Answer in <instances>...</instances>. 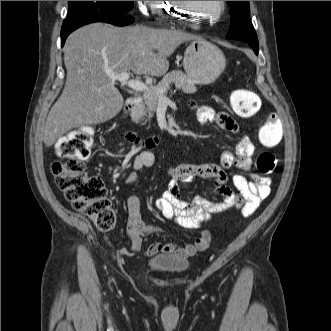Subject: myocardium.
<instances>
[{"label":"myocardium","instance_id":"myocardium-1","mask_svg":"<svg viewBox=\"0 0 331 331\" xmlns=\"http://www.w3.org/2000/svg\"><path fill=\"white\" fill-rule=\"evenodd\" d=\"M177 3L180 5L181 9L178 11L177 13L178 16L176 15V18L182 20L185 23H190V24H196L199 21H206L212 18L220 17L225 10V1H218L219 9L214 15L194 16L192 11L190 10L191 6L189 5L188 1H177Z\"/></svg>","mask_w":331,"mask_h":331}]
</instances>
